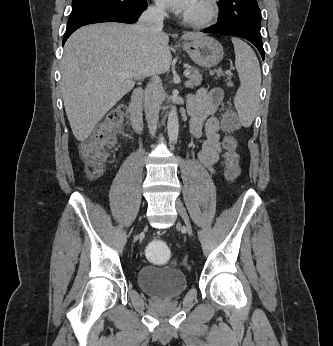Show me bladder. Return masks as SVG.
<instances>
[{"label":"bladder","mask_w":333,"mask_h":346,"mask_svg":"<svg viewBox=\"0 0 333 346\" xmlns=\"http://www.w3.org/2000/svg\"><path fill=\"white\" fill-rule=\"evenodd\" d=\"M137 284L148 295L167 300L180 296L187 287V280L177 269L145 265L137 273Z\"/></svg>","instance_id":"1"}]
</instances>
